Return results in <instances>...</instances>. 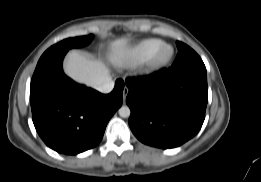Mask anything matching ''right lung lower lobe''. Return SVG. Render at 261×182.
Here are the masks:
<instances>
[{"label":"right lung lower lobe","instance_id":"right-lung-lower-lobe-1","mask_svg":"<svg viewBox=\"0 0 261 182\" xmlns=\"http://www.w3.org/2000/svg\"><path fill=\"white\" fill-rule=\"evenodd\" d=\"M66 53L40 58L31 80L30 103L34 126L46 145L76 155L99 144L122 105L124 83L118 79L107 95L75 83L62 69Z\"/></svg>","mask_w":261,"mask_h":182}]
</instances>
